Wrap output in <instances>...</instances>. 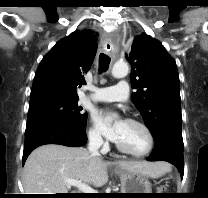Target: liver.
<instances>
[{"mask_svg":"<svg viewBox=\"0 0 208 198\" xmlns=\"http://www.w3.org/2000/svg\"><path fill=\"white\" fill-rule=\"evenodd\" d=\"M117 165L124 171L158 178L168 166L162 162L104 161L86 149L46 144L35 149L24 165L22 183L25 194L68 193L66 179L101 187L108 182V167Z\"/></svg>","mask_w":208,"mask_h":198,"instance_id":"obj_1","label":"liver"}]
</instances>
